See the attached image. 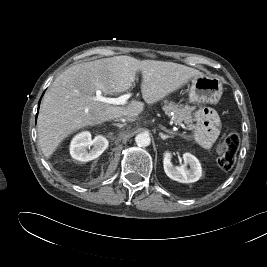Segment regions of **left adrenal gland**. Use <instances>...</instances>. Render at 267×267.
I'll use <instances>...</instances> for the list:
<instances>
[{"label": "left adrenal gland", "mask_w": 267, "mask_h": 267, "mask_svg": "<svg viewBox=\"0 0 267 267\" xmlns=\"http://www.w3.org/2000/svg\"><path fill=\"white\" fill-rule=\"evenodd\" d=\"M161 129L169 134V135H166V134H163V133H159L161 139H163V140H166L168 138H173L174 135L176 134L173 131L166 129V127H161Z\"/></svg>", "instance_id": "obj_1"}]
</instances>
